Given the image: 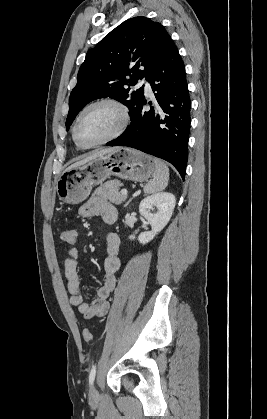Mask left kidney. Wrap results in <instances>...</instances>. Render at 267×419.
I'll use <instances>...</instances> for the list:
<instances>
[{
	"instance_id": "5707ae66",
	"label": "left kidney",
	"mask_w": 267,
	"mask_h": 419,
	"mask_svg": "<svg viewBox=\"0 0 267 419\" xmlns=\"http://www.w3.org/2000/svg\"><path fill=\"white\" fill-rule=\"evenodd\" d=\"M176 199L169 192H161L144 198L139 205V213L145 217L151 225L152 230L142 232L138 236V241L146 244L154 239V237L168 224L174 208ZM156 208L155 212L154 211ZM135 239V236H130Z\"/></svg>"
}]
</instances>
